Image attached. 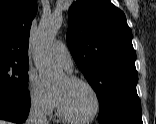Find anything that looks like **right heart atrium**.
<instances>
[{
	"mask_svg": "<svg viewBox=\"0 0 156 124\" xmlns=\"http://www.w3.org/2000/svg\"><path fill=\"white\" fill-rule=\"evenodd\" d=\"M27 93L30 106L42 115L49 116L55 107L54 93L40 81L37 73L30 70L27 75Z\"/></svg>",
	"mask_w": 156,
	"mask_h": 124,
	"instance_id": "obj_1",
	"label": "right heart atrium"
}]
</instances>
